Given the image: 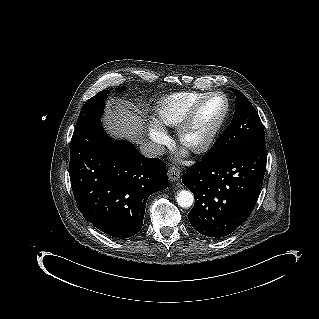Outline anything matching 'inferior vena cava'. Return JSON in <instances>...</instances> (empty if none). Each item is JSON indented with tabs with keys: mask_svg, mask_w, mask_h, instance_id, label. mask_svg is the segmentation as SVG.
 <instances>
[{
	"mask_svg": "<svg viewBox=\"0 0 319 319\" xmlns=\"http://www.w3.org/2000/svg\"><path fill=\"white\" fill-rule=\"evenodd\" d=\"M141 153L149 158H157L164 154V149L161 145L154 142H143L140 145Z\"/></svg>",
	"mask_w": 319,
	"mask_h": 319,
	"instance_id": "obj_1",
	"label": "inferior vena cava"
}]
</instances>
